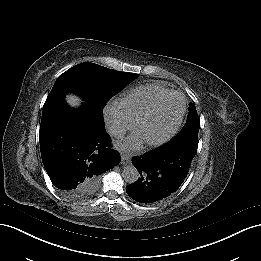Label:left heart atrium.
<instances>
[{
  "label": "left heart atrium",
  "instance_id": "left-heart-atrium-1",
  "mask_svg": "<svg viewBox=\"0 0 261 261\" xmlns=\"http://www.w3.org/2000/svg\"><path fill=\"white\" fill-rule=\"evenodd\" d=\"M126 146L129 147V148H133L135 147V143L132 139H128L127 143H126Z\"/></svg>",
  "mask_w": 261,
  "mask_h": 261
}]
</instances>
